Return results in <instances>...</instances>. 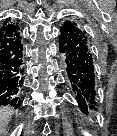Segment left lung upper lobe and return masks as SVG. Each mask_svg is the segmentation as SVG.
Segmentation results:
<instances>
[{"instance_id": "left-lung-upper-lobe-1", "label": "left lung upper lobe", "mask_w": 117, "mask_h": 136, "mask_svg": "<svg viewBox=\"0 0 117 136\" xmlns=\"http://www.w3.org/2000/svg\"><path fill=\"white\" fill-rule=\"evenodd\" d=\"M75 25H78V24H76V23H74ZM80 26V25H79ZM82 29H83V27L82 26H80Z\"/></svg>"}]
</instances>
